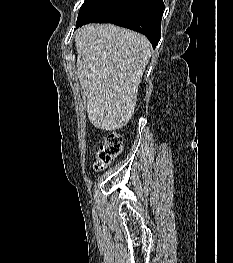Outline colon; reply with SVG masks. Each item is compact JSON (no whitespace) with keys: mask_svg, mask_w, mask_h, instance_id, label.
Wrapping results in <instances>:
<instances>
[{"mask_svg":"<svg viewBox=\"0 0 233 263\" xmlns=\"http://www.w3.org/2000/svg\"><path fill=\"white\" fill-rule=\"evenodd\" d=\"M124 146V137L117 130L107 133L104 143L100 146L94 167L96 170L104 169L112 164L121 153Z\"/></svg>","mask_w":233,"mask_h":263,"instance_id":"1","label":"colon"}]
</instances>
